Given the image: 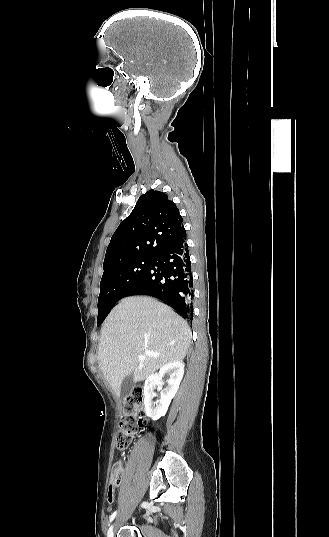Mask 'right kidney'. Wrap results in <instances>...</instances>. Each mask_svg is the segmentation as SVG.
I'll return each instance as SVG.
<instances>
[{
    "mask_svg": "<svg viewBox=\"0 0 329 537\" xmlns=\"http://www.w3.org/2000/svg\"><path fill=\"white\" fill-rule=\"evenodd\" d=\"M165 374L169 375L167 386L161 390L160 399L154 402V387L162 384V378ZM183 374L184 363L182 361H175L163 366L158 373L151 374L147 377L143 391L147 416L153 420H157L166 414L171 400L178 391Z\"/></svg>",
    "mask_w": 329,
    "mask_h": 537,
    "instance_id": "1",
    "label": "right kidney"
}]
</instances>
